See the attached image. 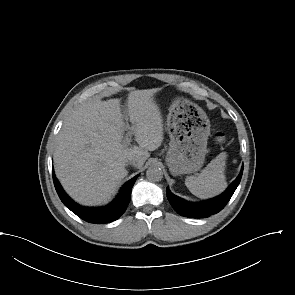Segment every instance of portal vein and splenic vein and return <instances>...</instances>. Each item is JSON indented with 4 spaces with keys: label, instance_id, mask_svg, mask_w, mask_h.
Segmentation results:
<instances>
[{
    "label": "portal vein and splenic vein",
    "instance_id": "portal-vein-and-splenic-vein-1",
    "mask_svg": "<svg viewBox=\"0 0 295 295\" xmlns=\"http://www.w3.org/2000/svg\"><path fill=\"white\" fill-rule=\"evenodd\" d=\"M127 127H128L129 130H131V128H130L129 125H127ZM132 134H133L132 131H128V132H127L126 137H125V139H124V141H123V144H125V145H129V144H130Z\"/></svg>",
    "mask_w": 295,
    "mask_h": 295
}]
</instances>
